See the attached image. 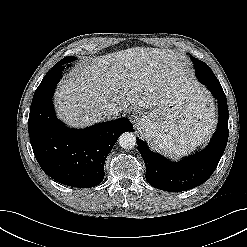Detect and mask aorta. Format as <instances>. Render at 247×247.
Instances as JSON below:
<instances>
[{
    "label": "aorta",
    "instance_id": "obj_1",
    "mask_svg": "<svg viewBox=\"0 0 247 247\" xmlns=\"http://www.w3.org/2000/svg\"><path fill=\"white\" fill-rule=\"evenodd\" d=\"M118 143L124 149H131L136 145V136L132 132H124L120 135Z\"/></svg>",
    "mask_w": 247,
    "mask_h": 247
}]
</instances>
